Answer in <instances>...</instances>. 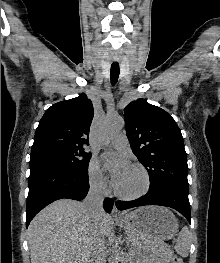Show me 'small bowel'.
I'll return each instance as SVG.
<instances>
[{
  "instance_id": "1",
  "label": "small bowel",
  "mask_w": 220,
  "mask_h": 263,
  "mask_svg": "<svg viewBox=\"0 0 220 263\" xmlns=\"http://www.w3.org/2000/svg\"><path fill=\"white\" fill-rule=\"evenodd\" d=\"M153 263H160L159 261H154Z\"/></svg>"
}]
</instances>
